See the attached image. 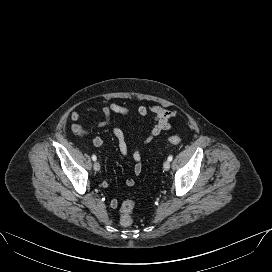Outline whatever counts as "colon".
<instances>
[{"mask_svg":"<svg viewBox=\"0 0 272 272\" xmlns=\"http://www.w3.org/2000/svg\"><path fill=\"white\" fill-rule=\"evenodd\" d=\"M76 133L80 134L82 132L81 128L76 126L74 127ZM168 142L172 145L179 144L181 142L180 137L178 136H171L168 139ZM134 202L132 200H126L122 203L120 208V223L124 227H129L133 223V219L131 213L134 209Z\"/></svg>","mask_w":272,"mask_h":272,"instance_id":"1","label":"colon"}]
</instances>
